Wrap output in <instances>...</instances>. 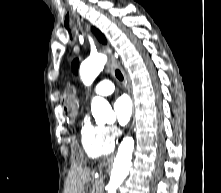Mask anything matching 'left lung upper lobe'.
<instances>
[{"instance_id": "left-lung-upper-lobe-1", "label": "left lung upper lobe", "mask_w": 221, "mask_h": 193, "mask_svg": "<svg viewBox=\"0 0 221 193\" xmlns=\"http://www.w3.org/2000/svg\"><path fill=\"white\" fill-rule=\"evenodd\" d=\"M92 31L95 33V35L98 37V39L100 41H102L103 43H106L104 36L101 34V32L99 30L92 28ZM73 70H74V72L77 73V70H78V60L77 59L74 60V62H73Z\"/></svg>"}]
</instances>
